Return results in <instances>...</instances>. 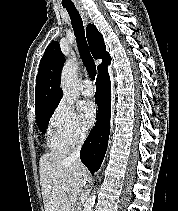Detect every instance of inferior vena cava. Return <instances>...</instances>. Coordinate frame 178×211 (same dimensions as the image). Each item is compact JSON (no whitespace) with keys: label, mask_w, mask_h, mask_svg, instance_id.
Listing matches in <instances>:
<instances>
[{"label":"inferior vena cava","mask_w":178,"mask_h":211,"mask_svg":"<svg viewBox=\"0 0 178 211\" xmlns=\"http://www.w3.org/2000/svg\"><path fill=\"white\" fill-rule=\"evenodd\" d=\"M85 137H86V132L84 130L80 131L76 138V147L74 151L72 152L71 156L69 157L70 160L80 162L79 156H80L81 147L85 140Z\"/></svg>","instance_id":"inferior-vena-cava-1"}]
</instances>
